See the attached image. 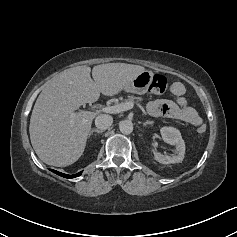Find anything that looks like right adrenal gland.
I'll list each match as a JSON object with an SVG mask.
<instances>
[{
	"label": "right adrenal gland",
	"mask_w": 237,
	"mask_h": 237,
	"mask_svg": "<svg viewBox=\"0 0 237 237\" xmlns=\"http://www.w3.org/2000/svg\"><path fill=\"white\" fill-rule=\"evenodd\" d=\"M94 132L100 134V133L103 132V130H99V129H95V128L90 129L89 134H88V137H90Z\"/></svg>",
	"instance_id": "2a0ac1e0"
}]
</instances>
